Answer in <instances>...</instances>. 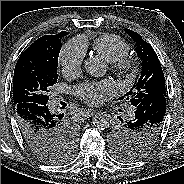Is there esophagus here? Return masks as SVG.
<instances>
[{
  "label": "esophagus",
  "mask_w": 184,
  "mask_h": 184,
  "mask_svg": "<svg viewBox=\"0 0 184 184\" xmlns=\"http://www.w3.org/2000/svg\"><path fill=\"white\" fill-rule=\"evenodd\" d=\"M85 113H86L87 116H91V115H93L95 113V110H93V109H87L85 111Z\"/></svg>",
  "instance_id": "1"
}]
</instances>
